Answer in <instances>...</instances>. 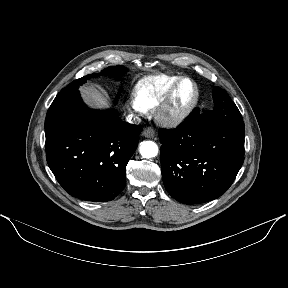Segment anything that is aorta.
Masks as SVG:
<instances>
[{"label": "aorta", "instance_id": "762f6f07", "mask_svg": "<svg viewBox=\"0 0 288 288\" xmlns=\"http://www.w3.org/2000/svg\"><path fill=\"white\" fill-rule=\"evenodd\" d=\"M139 152L143 158H153L158 154V146L153 141H144L140 145Z\"/></svg>", "mask_w": 288, "mask_h": 288}]
</instances>
